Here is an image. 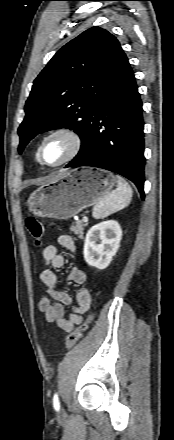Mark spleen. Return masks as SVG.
I'll return each instance as SVG.
<instances>
[{"mask_svg": "<svg viewBox=\"0 0 174 440\" xmlns=\"http://www.w3.org/2000/svg\"><path fill=\"white\" fill-rule=\"evenodd\" d=\"M133 196L130 185L121 176H117V188L98 200L93 208V217L103 219L127 207Z\"/></svg>", "mask_w": 174, "mask_h": 440, "instance_id": "1", "label": "spleen"}]
</instances>
